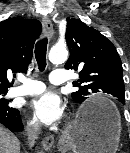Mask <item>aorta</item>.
Here are the masks:
<instances>
[{"instance_id":"762f6f07","label":"aorta","mask_w":130,"mask_h":153,"mask_svg":"<svg viewBox=\"0 0 130 153\" xmlns=\"http://www.w3.org/2000/svg\"><path fill=\"white\" fill-rule=\"evenodd\" d=\"M68 58V51L65 47L54 46L49 52V60L52 63H64Z\"/></svg>"}]
</instances>
